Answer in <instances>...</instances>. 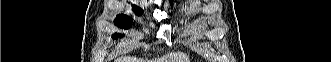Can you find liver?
Wrapping results in <instances>:
<instances>
[{
	"mask_svg": "<svg viewBox=\"0 0 331 62\" xmlns=\"http://www.w3.org/2000/svg\"><path fill=\"white\" fill-rule=\"evenodd\" d=\"M116 62H189V58L182 53H170L168 56L155 59V61H148V59H138L136 57L127 56L117 59Z\"/></svg>",
	"mask_w": 331,
	"mask_h": 62,
	"instance_id": "6515ba94",
	"label": "liver"
}]
</instances>
